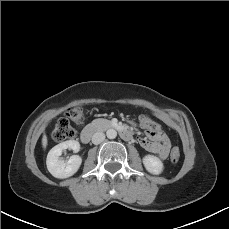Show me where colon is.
Segmentation results:
<instances>
[{
    "label": "colon",
    "instance_id": "1",
    "mask_svg": "<svg viewBox=\"0 0 229 229\" xmlns=\"http://www.w3.org/2000/svg\"><path fill=\"white\" fill-rule=\"evenodd\" d=\"M67 117L71 119L75 124H81L84 120V111L81 107H73L68 110ZM151 126V124H147ZM75 136V130L71 126L67 118L59 119L52 131V139L55 142H62L65 140L72 139ZM181 152L178 147H174L171 151L170 159L173 163L179 161Z\"/></svg>",
    "mask_w": 229,
    "mask_h": 229
}]
</instances>
